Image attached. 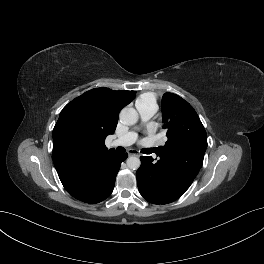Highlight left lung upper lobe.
<instances>
[{"mask_svg":"<svg viewBox=\"0 0 264 264\" xmlns=\"http://www.w3.org/2000/svg\"><path fill=\"white\" fill-rule=\"evenodd\" d=\"M162 118L168 138L159 151L168 154L186 152L187 160L207 147L206 131L193 107L176 94L165 93L162 98Z\"/></svg>","mask_w":264,"mask_h":264,"instance_id":"5c2ea615","label":"left lung upper lobe"}]
</instances>
